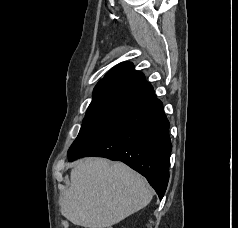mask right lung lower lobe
<instances>
[{"instance_id":"right-lung-lower-lobe-1","label":"right lung lower lobe","mask_w":238,"mask_h":228,"mask_svg":"<svg viewBox=\"0 0 238 228\" xmlns=\"http://www.w3.org/2000/svg\"><path fill=\"white\" fill-rule=\"evenodd\" d=\"M172 145L162 102L154 99L120 116L68 154L69 161L97 156L122 161L142 174L163 198Z\"/></svg>"}]
</instances>
